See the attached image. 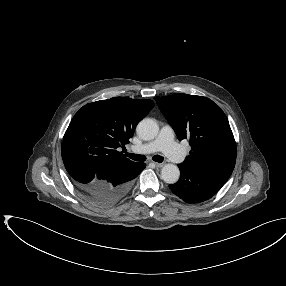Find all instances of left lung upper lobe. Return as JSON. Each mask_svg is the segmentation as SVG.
<instances>
[{
	"label": "left lung upper lobe",
	"mask_w": 286,
	"mask_h": 286,
	"mask_svg": "<svg viewBox=\"0 0 286 286\" xmlns=\"http://www.w3.org/2000/svg\"><path fill=\"white\" fill-rule=\"evenodd\" d=\"M155 101L178 139H189L191 151L180 164L227 182L236 162V143L228 119L212 100L174 94Z\"/></svg>",
	"instance_id": "left-lung-upper-lobe-1"
}]
</instances>
